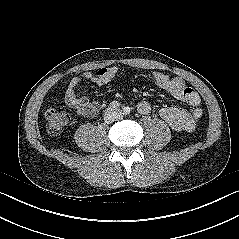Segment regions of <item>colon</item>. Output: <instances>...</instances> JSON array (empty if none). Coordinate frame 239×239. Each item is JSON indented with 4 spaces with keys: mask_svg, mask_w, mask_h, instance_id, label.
Instances as JSON below:
<instances>
[{
    "mask_svg": "<svg viewBox=\"0 0 239 239\" xmlns=\"http://www.w3.org/2000/svg\"><path fill=\"white\" fill-rule=\"evenodd\" d=\"M185 101L190 106H198L200 97L192 87H185L183 90ZM48 132L52 135L61 132L70 122L71 115L65 110L50 109L45 114Z\"/></svg>",
    "mask_w": 239,
    "mask_h": 239,
    "instance_id": "colon-1",
    "label": "colon"
}]
</instances>
